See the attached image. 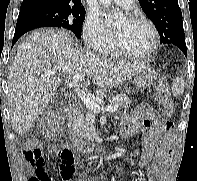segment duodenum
I'll list each match as a JSON object with an SVG mask.
<instances>
[{
	"label": "duodenum",
	"mask_w": 197,
	"mask_h": 181,
	"mask_svg": "<svg viewBox=\"0 0 197 181\" xmlns=\"http://www.w3.org/2000/svg\"><path fill=\"white\" fill-rule=\"evenodd\" d=\"M76 110H77V106L75 104L70 105L67 110L68 116H70V117L73 116L75 114Z\"/></svg>",
	"instance_id": "duodenum-1"
}]
</instances>
